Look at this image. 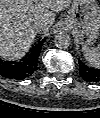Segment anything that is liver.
I'll list each match as a JSON object with an SVG mask.
<instances>
[{
  "instance_id": "1",
  "label": "liver",
  "mask_w": 100,
  "mask_h": 118,
  "mask_svg": "<svg viewBox=\"0 0 100 118\" xmlns=\"http://www.w3.org/2000/svg\"><path fill=\"white\" fill-rule=\"evenodd\" d=\"M74 0H0V56L18 60L31 47L37 32L36 24L48 29L55 21V12L70 6ZM43 33V32H42Z\"/></svg>"
}]
</instances>
